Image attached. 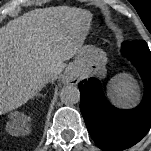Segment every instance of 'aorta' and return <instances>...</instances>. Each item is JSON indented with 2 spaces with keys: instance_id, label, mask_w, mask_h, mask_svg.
Here are the masks:
<instances>
[{
  "instance_id": "762f6f07",
  "label": "aorta",
  "mask_w": 151,
  "mask_h": 151,
  "mask_svg": "<svg viewBox=\"0 0 151 151\" xmlns=\"http://www.w3.org/2000/svg\"><path fill=\"white\" fill-rule=\"evenodd\" d=\"M60 100L65 105H73L80 100V91L76 86H65L61 89Z\"/></svg>"
}]
</instances>
